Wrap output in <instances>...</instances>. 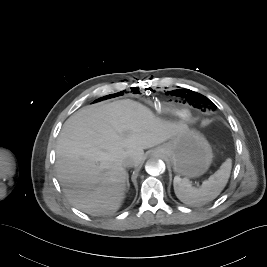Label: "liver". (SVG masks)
<instances>
[{
    "instance_id": "obj_1",
    "label": "liver",
    "mask_w": 267,
    "mask_h": 267,
    "mask_svg": "<svg viewBox=\"0 0 267 267\" xmlns=\"http://www.w3.org/2000/svg\"><path fill=\"white\" fill-rule=\"evenodd\" d=\"M188 129L156 118L126 99L79 109L63 125L56 147V172L69 201L92 215L114 213L125 199V159L144 161V149Z\"/></svg>"
}]
</instances>
